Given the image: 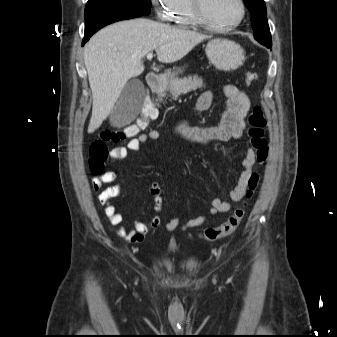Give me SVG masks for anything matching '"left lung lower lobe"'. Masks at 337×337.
<instances>
[{"mask_svg":"<svg viewBox=\"0 0 337 337\" xmlns=\"http://www.w3.org/2000/svg\"><path fill=\"white\" fill-rule=\"evenodd\" d=\"M271 46H272V45H268V46H266V47L271 48Z\"/></svg>","mask_w":337,"mask_h":337,"instance_id":"1","label":"left lung lower lobe"}]
</instances>
